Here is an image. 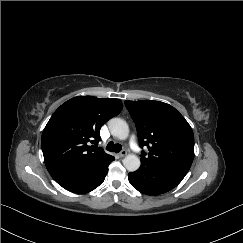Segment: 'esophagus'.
Masks as SVG:
<instances>
[{"label": "esophagus", "mask_w": 243, "mask_h": 243, "mask_svg": "<svg viewBox=\"0 0 243 243\" xmlns=\"http://www.w3.org/2000/svg\"><path fill=\"white\" fill-rule=\"evenodd\" d=\"M126 155H127V151L126 150H122V151L119 152V156L121 158L125 157Z\"/></svg>", "instance_id": "34e87169"}]
</instances>
